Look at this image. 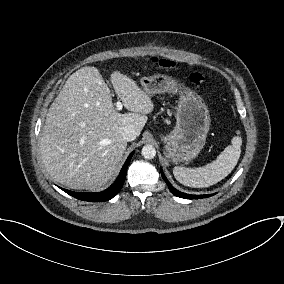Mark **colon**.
<instances>
[{"label": "colon", "mask_w": 284, "mask_h": 284, "mask_svg": "<svg viewBox=\"0 0 284 284\" xmlns=\"http://www.w3.org/2000/svg\"><path fill=\"white\" fill-rule=\"evenodd\" d=\"M155 63L164 69H170L174 67V63L169 59H155ZM189 81L194 85H200L204 82V76L201 73H191L188 76Z\"/></svg>", "instance_id": "colon-1"}]
</instances>
